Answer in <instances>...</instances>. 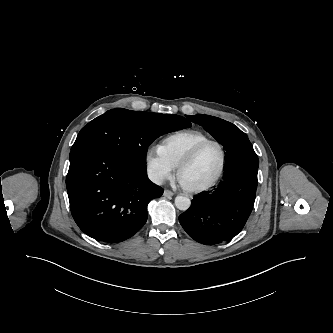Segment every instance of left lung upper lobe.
Returning a JSON list of instances; mask_svg holds the SVG:
<instances>
[{
  "label": "left lung upper lobe",
  "mask_w": 333,
  "mask_h": 333,
  "mask_svg": "<svg viewBox=\"0 0 333 333\" xmlns=\"http://www.w3.org/2000/svg\"><path fill=\"white\" fill-rule=\"evenodd\" d=\"M194 123L201 125L209 132L227 151L237 142L248 139L247 135L234 124L223 119L209 115L187 116Z\"/></svg>",
  "instance_id": "5c2ea615"
}]
</instances>
